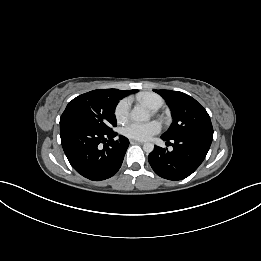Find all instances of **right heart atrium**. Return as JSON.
Wrapping results in <instances>:
<instances>
[{
	"label": "right heart atrium",
	"mask_w": 261,
	"mask_h": 261,
	"mask_svg": "<svg viewBox=\"0 0 261 261\" xmlns=\"http://www.w3.org/2000/svg\"><path fill=\"white\" fill-rule=\"evenodd\" d=\"M129 100L127 98L122 99L116 106L114 115L118 122L126 121L129 113Z\"/></svg>",
	"instance_id": "1"
}]
</instances>
